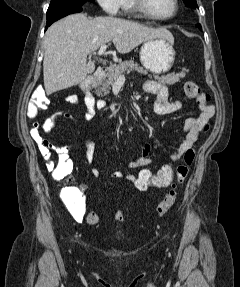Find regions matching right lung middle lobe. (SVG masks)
I'll return each mask as SVG.
<instances>
[{
  "label": "right lung middle lobe",
  "mask_w": 240,
  "mask_h": 287,
  "mask_svg": "<svg viewBox=\"0 0 240 287\" xmlns=\"http://www.w3.org/2000/svg\"><path fill=\"white\" fill-rule=\"evenodd\" d=\"M93 2H95V0H51V3L47 10V16L58 10L84 6L86 5V3H93Z\"/></svg>",
  "instance_id": "right-lung-middle-lobe-1"
}]
</instances>
